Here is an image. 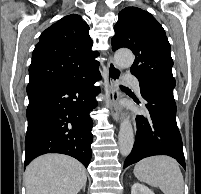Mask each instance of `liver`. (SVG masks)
Returning a JSON list of instances; mask_svg holds the SVG:
<instances>
[{"instance_id": "liver-1", "label": "liver", "mask_w": 201, "mask_h": 194, "mask_svg": "<svg viewBox=\"0 0 201 194\" xmlns=\"http://www.w3.org/2000/svg\"><path fill=\"white\" fill-rule=\"evenodd\" d=\"M84 166L76 159L61 154H46L26 168V194H77L85 185Z\"/></svg>"}]
</instances>
